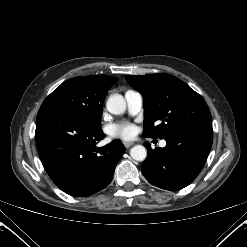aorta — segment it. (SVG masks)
Here are the masks:
<instances>
[{
  "mask_svg": "<svg viewBox=\"0 0 247 247\" xmlns=\"http://www.w3.org/2000/svg\"><path fill=\"white\" fill-rule=\"evenodd\" d=\"M106 107L111 114H123L126 110V101L122 95L113 94L108 98ZM130 156L136 161H144L147 157V150L142 145H136L131 148Z\"/></svg>",
  "mask_w": 247,
  "mask_h": 247,
  "instance_id": "obj_1",
  "label": "aorta"
}]
</instances>
